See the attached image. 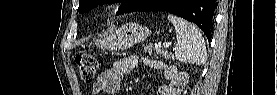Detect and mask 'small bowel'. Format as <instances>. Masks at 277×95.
I'll list each match as a JSON object with an SVG mask.
<instances>
[{
	"instance_id": "small-bowel-1",
	"label": "small bowel",
	"mask_w": 277,
	"mask_h": 95,
	"mask_svg": "<svg viewBox=\"0 0 277 95\" xmlns=\"http://www.w3.org/2000/svg\"><path fill=\"white\" fill-rule=\"evenodd\" d=\"M139 57L136 55L128 56L116 60L112 67L101 72L97 80L92 85L93 94H118L120 89V82L124 75L130 73L135 69L139 63ZM143 61L152 66L158 67L159 60L143 59ZM173 74L165 73L164 77H172ZM158 95H170L168 87H161L158 89Z\"/></svg>"
}]
</instances>
